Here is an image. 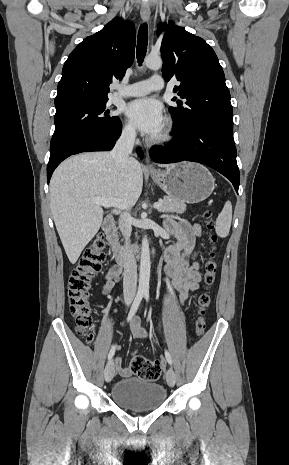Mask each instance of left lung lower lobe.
<instances>
[{"label":"left lung lower lobe","instance_id":"obj_1","mask_svg":"<svg viewBox=\"0 0 289 465\" xmlns=\"http://www.w3.org/2000/svg\"><path fill=\"white\" fill-rule=\"evenodd\" d=\"M233 130L204 123L172 128L174 139L168 147L152 148L157 163L192 161L203 163L227 177L238 193L240 174L236 161Z\"/></svg>","mask_w":289,"mask_h":465}]
</instances>
